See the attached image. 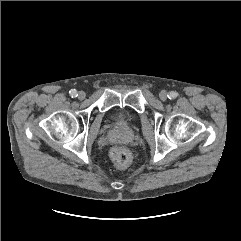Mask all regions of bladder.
Masks as SVG:
<instances>
[{
    "label": "bladder",
    "instance_id": "1",
    "mask_svg": "<svg viewBox=\"0 0 241 241\" xmlns=\"http://www.w3.org/2000/svg\"><path fill=\"white\" fill-rule=\"evenodd\" d=\"M114 123L119 127H127L131 122V117L123 112H118L113 116Z\"/></svg>",
    "mask_w": 241,
    "mask_h": 241
}]
</instances>
